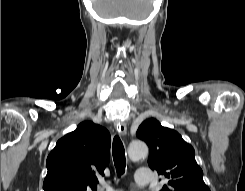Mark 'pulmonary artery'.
I'll return each instance as SVG.
<instances>
[{
  "label": "pulmonary artery",
  "instance_id": "obj_1",
  "mask_svg": "<svg viewBox=\"0 0 245 191\" xmlns=\"http://www.w3.org/2000/svg\"><path fill=\"white\" fill-rule=\"evenodd\" d=\"M152 181V174L149 168H138L135 173V183L137 186H148ZM107 191H115L112 188H107ZM121 191V190H116Z\"/></svg>",
  "mask_w": 245,
  "mask_h": 191
}]
</instances>
